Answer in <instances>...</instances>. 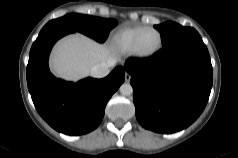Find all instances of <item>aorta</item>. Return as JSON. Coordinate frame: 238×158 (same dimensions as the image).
<instances>
[{"label": "aorta", "mask_w": 238, "mask_h": 158, "mask_svg": "<svg viewBox=\"0 0 238 158\" xmlns=\"http://www.w3.org/2000/svg\"><path fill=\"white\" fill-rule=\"evenodd\" d=\"M119 90L120 93L125 96L131 95L133 92L132 86L129 83H123Z\"/></svg>", "instance_id": "aorta-1"}]
</instances>
